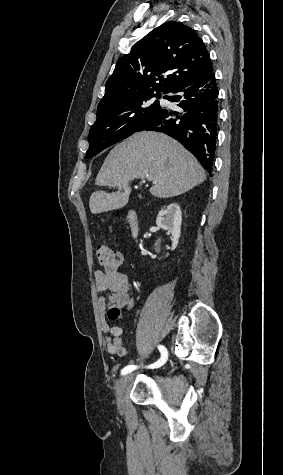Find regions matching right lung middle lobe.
I'll return each instance as SVG.
<instances>
[{
  "mask_svg": "<svg viewBox=\"0 0 283 475\" xmlns=\"http://www.w3.org/2000/svg\"><path fill=\"white\" fill-rule=\"evenodd\" d=\"M153 96V93H146L98 107L97 120L89 132L90 145L85 158L93 157L137 132L160 109L159 101L150 104ZM156 96L159 97L160 94L157 93Z\"/></svg>",
  "mask_w": 283,
  "mask_h": 475,
  "instance_id": "dd1d6c3e",
  "label": "right lung middle lobe"
}]
</instances>
